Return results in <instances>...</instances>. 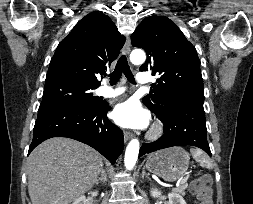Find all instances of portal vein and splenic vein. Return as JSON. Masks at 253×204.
<instances>
[{
    "mask_svg": "<svg viewBox=\"0 0 253 204\" xmlns=\"http://www.w3.org/2000/svg\"><path fill=\"white\" fill-rule=\"evenodd\" d=\"M186 181H187V177L183 178V179L180 181V184H184Z\"/></svg>",
    "mask_w": 253,
    "mask_h": 204,
    "instance_id": "portal-vein-and-splenic-vein-1",
    "label": "portal vein and splenic vein"
}]
</instances>
